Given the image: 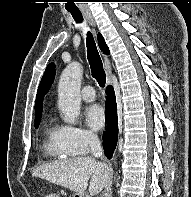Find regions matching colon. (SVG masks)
<instances>
[{
	"label": "colon",
	"instance_id": "colon-1",
	"mask_svg": "<svg viewBox=\"0 0 191 197\" xmlns=\"http://www.w3.org/2000/svg\"><path fill=\"white\" fill-rule=\"evenodd\" d=\"M43 197H55V195H53V194H49V193H46V194H44V196Z\"/></svg>",
	"mask_w": 191,
	"mask_h": 197
}]
</instances>
